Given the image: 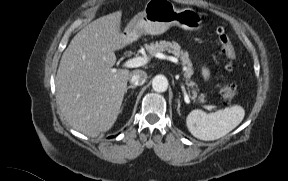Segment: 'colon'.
<instances>
[{
    "label": "colon",
    "mask_w": 288,
    "mask_h": 181,
    "mask_svg": "<svg viewBox=\"0 0 288 181\" xmlns=\"http://www.w3.org/2000/svg\"><path fill=\"white\" fill-rule=\"evenodd\" d=\"M217 38L222 46L223 53L227 58L226 70L231 71L233 69V59L235 58V50L231 40L222 28L216 29ZM237 94V89L234 84H224L220 91L219 97L224 103H228Z\"/></svg>",
    "instance_id": "5ec220e1"
}]
</instances>
